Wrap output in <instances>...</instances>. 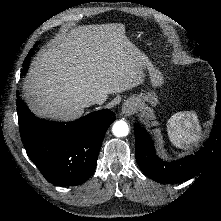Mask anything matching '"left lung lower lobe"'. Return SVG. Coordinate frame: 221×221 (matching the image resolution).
<instances>
[{"instance_id":"0a47b994","label":"left lung lower lobe","mask_w":221,"mask_h":221,"mask_svg":"<svg viewBox=\"0 0 221 221\" xmlns=\"http://www.w3.org/2000/svg\"><path fill=\"white\" fill-rule=\"evenodd\" d=\"M218 102L211 137L195 155L171 163L163 162L156 155L153 142L147 131L134 124L136 160L145 175L160 183H174L197 175L208 160L214 146L221 141V84L217 83ZM216 142V143H215Z\"/></svg>"}]
</instances>
